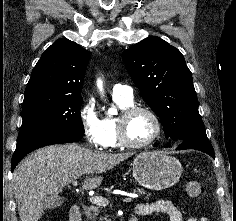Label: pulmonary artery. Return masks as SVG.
Returning a JSON list of instances; mask_svg holds the SVG:
<instances>
[{"label":"pulmonary artery","mask_w":236,"mask_h":221,"mask_svg":"<svg viewBox=\"0 0 236 221\" xmlns=\"http://www.w3.org/2000/svg\"><path fill=\"white\" fill-rule=\"evenodd\" d=\"M112 95L115 98L132 100L133 99V90L130 86L116 84L112 89Z\"/></svg>","instance_id":"pulmonary-artery-1"}]
</instances>
